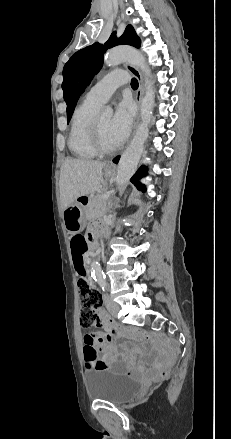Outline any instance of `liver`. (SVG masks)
<instances>
[{
  "mask_svg": "<svg viewBox=\"0 0 231 439\" xmlns=\"http://www.w3.org/2000/svg\"><path fill=\"white\" fill-rule=\"evenodd\" d=\"M105 162L88 159H66L60 172V200L63 209L78 197L95 192L101 187Z\"/></svg>",
  "mask_w": 231,
  "mask_h": 439,
  "instance_id": "obj_1",
  "label": "liver"
}]
</instances>
